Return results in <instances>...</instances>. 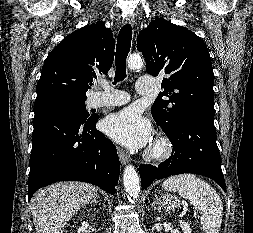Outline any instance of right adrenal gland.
<instances>
[{"instance_id": "2a0ac1e0", "label": "right adrenal gland", "mask_w": 253, "mask_h": 233, "mask_svg": "<svg viewBox=\"0 0 253 233\" xmlns=\"http://www.w3.org/2000/svg\"><path fill=\"white\" fill-rule=\"evenodd\" d=\"M96 199H100V196L97 195V196H96ZM96 199H95L94 201H96ZM94 201H93V202H94Z\"/></svg>"}]
</instances>
